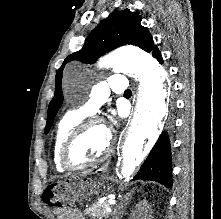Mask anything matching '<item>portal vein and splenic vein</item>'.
I'll return each instance as SVG.
<instances>
[{
  "label": "portal vein and splenic vein",
  "instance_id": "1",
  "mask_svg": "<svg viewBox=\"0 0 221 219\" xmlns=\"http://www.w3.org/2000/svg\"><path fill=\"white\" fill-rule=\"evenodd\" d=\"M106 211H107L108 213H111V212H112V209L108 207V208L106 209Z\"/></svg>",
  "mask_w": 221,
  "mask_h": 219
}]
</instances>
